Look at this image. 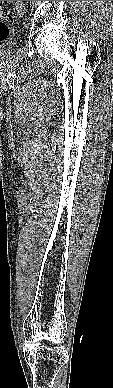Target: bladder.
<instances>
[{"mask_svg": "<svg viewBox=\"0 0 113 388\" xmlns=\"http://www.w3.org/2000/svg\"><path fill=\"white\" fill-rule=\"evenodd\" d=\"M10 50L9 45H0V58L7 55Z\"/></svg>", "mask_w": 113, "mask_h": 388, "instance_id": "bladder-1", "label": "bladder"}]
</instances>
